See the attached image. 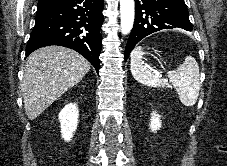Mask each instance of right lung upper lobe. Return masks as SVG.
<instances>
[{"label": "right lung upper lobe", "mask_w": 227, "mask_h": 166, "mask_svg": "<svg viewBox=\"0 0 227 166\" xmlns=\"http://www.w3.org/2000/svg\"><path fill=\"white\" fill-rule=\"evenodd\" d=\"M54 1H56V0H39L38 1V7L45 5V4H48V3H51V2H54Z\"/></svg>", "instance_id": "obj_1"}]
</instances>
